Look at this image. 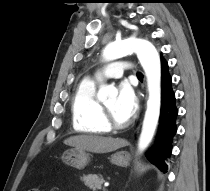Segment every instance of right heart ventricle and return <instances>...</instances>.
Instances as JSON below:
<instances>
[{
	"label": "right heart ventricle",
	"mask_w": 210,
	"mask_h": 191,
	"mask_svg": "<svg viewBox=\"0 0 210 191\" xmlns=\"http://www.w3.org/2000/svg\"><path fill=\"white\" fill-rule=\"evenodd\" d=\"M97 83L91 79L80 82L72 100L74 129L83 134L101 135L109 129L103 121L101 103L96 97Z\"/></svg>",
	"instance_id": "1"
}]
</instances>
